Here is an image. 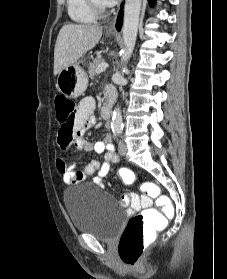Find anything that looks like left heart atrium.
I'll use <instances>...</instances> for the list:
<instances>
[{
  "label": "left heart atrium",
  "instance_id": "left-heart-atrium-1",
  "mask_svg": "<svg viewBox=\"0 0 227 279\" xmlns=\"http://www.w3.org/2000/svg\"><path fill=\"white\" fill-rule=\"evenodd\" d=\"M102 2L105 6H111L116 2V0H102Z\"/></svg>",
  "mask_w": 227,
  "mask_h": 279
}]
</instances>
